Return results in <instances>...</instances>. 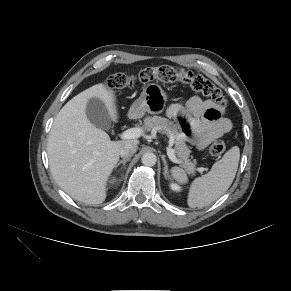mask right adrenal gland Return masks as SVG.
<instances>
[{
	"label": "right adrenal gland",
	"instance_id": "obj_1",
	"mask_svg": "<svg viewBox=\"0 0 291 291\" xmlns=\"http://www.w3.org/2000/svg\"><path fill=\"white\" fill-rule=\"evenodd\" d=\"M129 160H130V158H125V159L119 161V162L116 164L115 168H117V167H118L119 165H121V164H123V166H125L126 162H128Z\"/></svg>",
	"mask_w": 291,
	"mask_h": 291
}]
</instances>
